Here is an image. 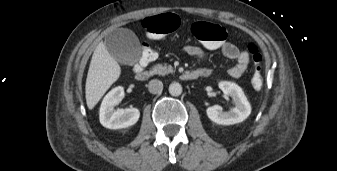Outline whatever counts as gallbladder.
Listing matches in <instances>:
<instances>
[{
    "label": "gallbladder",
    "instance_id": "gallbladder-1",
    "mask_svg": "<svg viewBox=\"0 0 337 171\" xmlns=\"http://www.w3.org/2000/svg\"><path fill=\"white\" fill-rule=\"evenodd\" d=\"M105 46L111 56L122 64L133 65L141 55L140 43L133 32L117 29L105 38Z\"/></svg>",
    "mask_w": 337,
    "mask_h": 171
}]
</instances>
